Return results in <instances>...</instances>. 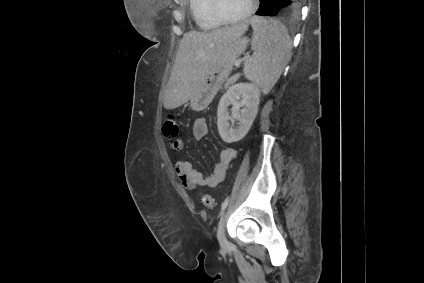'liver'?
<instances>
[{
  "mask_svg": "<svg viewBox=\"0 0 424 283\" xmlns=\"http://www.w3.org/2000/svg\"><path fill=\"white\" fill-rule=\"evenodd\" d=\"M248 22L208 32L191 31L180 41L171 77L164 94V108L175 109L189 101L221 57L225 46L241 37Z\"/></svg>",
  "mask_w": 424,
  "mask_h": 283,
  "instance_id": "1",
  "label": "liver"
}]
</instances>
